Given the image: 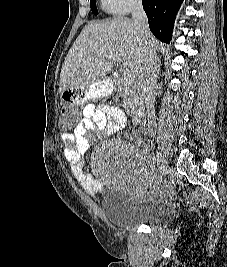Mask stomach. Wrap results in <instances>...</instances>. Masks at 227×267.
Segmentation results:
<instances>
[{
    "instance_id": "obj_1",
    "label": "stomach",
    "mask_w": 227,
    "mask_h": 267,
    "mask_svg": "<svg viewBox=\"0 0 227 267\" xmlns=\"http://www.w3.org/2000/svg\"><path fill=\"white\" fill-rule=\"evenodd\" d=\"M113 91L112 85H84V87H64L59 91L60 104L83 106L87 99L108 95ZM95 96V97H94Z\"/></svg>"
}]
</instances>
